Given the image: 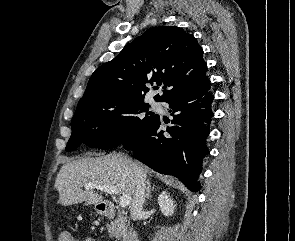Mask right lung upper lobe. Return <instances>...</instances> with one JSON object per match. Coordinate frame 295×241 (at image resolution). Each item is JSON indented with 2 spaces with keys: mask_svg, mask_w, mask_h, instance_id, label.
I'll return each mask as SVG.
<instances>
[{
  "mask_svg": "<svg viewBox=\"0 0 295 241\" xmlns=\"http://www.w3.org/2000/svg\"><path fill=\"white\" fill-rule=\"evenodd\" d=\"M203 50L193 35L176 26H159L137 37L113 60L102 64L90 77L80 102L108 98L144 102L148 84H164L156 101L209 81Z\"/></svg>",
  "mask_w": 295,
  "mask_h": 241,
  "instance_id": "cb5924a9",
  "label": "right lung upper lobe"
}]
</instances>
